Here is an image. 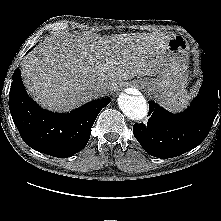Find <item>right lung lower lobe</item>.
I'll list each match as a JSON object with an SVG mask.
<instances>
[{"label":"right lung lower lobe","mask_w":221,"mask_h":221,"mask_svg":"<svg viewBox=\"0 0 221 221\" xmlns=\"http://www.w3.org/2000/svg\"><path fill=\"white\" fill-rule=\"evenodd\" d=\"M110 98L91 101L70 113H52L39 107L23 85L20 70L13 74L9 109L24 142L31 148L59 158L81 151L90 138L91 128Z\"/></svg>","instance_id":"98d812e1"}]
</instances>
